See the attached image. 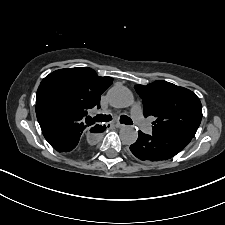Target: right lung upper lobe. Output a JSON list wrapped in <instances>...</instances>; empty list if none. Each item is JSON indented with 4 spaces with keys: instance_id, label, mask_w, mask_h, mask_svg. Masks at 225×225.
Masks as SVG:
<instances>
[{
    "instance_id": "right-lung-upper-lobe-1",
    "label": "right lung upper lobe",
    "mask_w": 225,
    "mask_h": 225,
    "mask_svg": "<svg viewBox=\"0 0 225 225\" xmlns=\"http://www.w3.org/2000/svg\"><path fill=\"white\" fill-rule=\"evenodd\" d=\"M111 77H100L86 67L60 69L47 75L39 85L36 105L87 117V110L100 107V95L112 84Z\"/></svg>"
}]
</instances>
